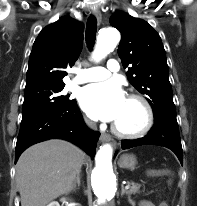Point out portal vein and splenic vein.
<instances>
[{
	"label": "portal vein and splenic vein",
	"instance_id": "obj_1",
	"mask_svg": "<svg viewBox=\"0 0 197 206\" xmlns=\"http://www.w3.org/2000/svg\"><path fill=\"white\" fill-rule=\"evenodd\" d=\"M129 187H130L129 185H126V186H125V189H129Z\"/></svg>",
	"mask_w": 197,
	"mask_h": 206
}]
</instances>
